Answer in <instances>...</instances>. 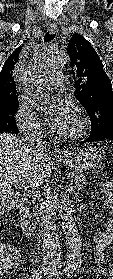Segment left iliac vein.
Wrapping results in <instances>:
<instances>
[{
    "instance_id": "left-iliac-vein-1",
    "label": "left iliac vein",
    "mask_w": 113,
    "mask_h": 279,
    "mask_svg": "<svg viewBox=\"0 0 113 279\" xmlns=\"http://www.w3.org/2000/svg\"><path fill=\"white\" fill-rule=\"evenodd\" d=\"M47 279H58V278H55V277H52V276H48Z\"/></svg>"
}]
</instances>
